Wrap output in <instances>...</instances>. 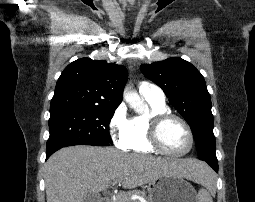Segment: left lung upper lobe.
<instances>
[{
  "label": "left lung upper lobe",
  "instance_id": "5c2ea615",
  "mask_svg": "<svg viewBox=\"0 0 255 202\" xmlns=\"http://www.w3.org/2000/svg\"><path fill=\"white\" fill-rule=\"evenodd\" d=\"M140 69L163 89L171 105L190 125L199 159L217 161L211 98L201 73L178 57L143 64Z\"/></svg>",
  "mask_w": 255,
  "mask_h": 202
}]
</instances>
